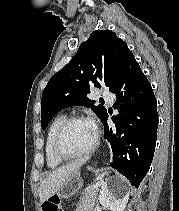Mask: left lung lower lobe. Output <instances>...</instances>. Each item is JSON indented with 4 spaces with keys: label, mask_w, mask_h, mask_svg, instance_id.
I'll return each instance as SVG.
<instances>
[{
    "label": "left lung lower lobe",
    "mask_w": 179,
    "mask_h": 211,
    "mask_svg": "<svg viewBox=\"0 0 179 211\" xmlns=\"http://www.w3.org/2000/svg\"><path fill=\"white\" fill-rule=\"evenodd\" d=\"M110 91L115 94L121 113L112 118L115 128L107 124L108 113L101 120L104 138L113 151L111 167L138 188L153 159L158 113L152 87L133 54L127 57Z\"/></svg>",
    "instance_id": "obj_1"
}]
</instances>
